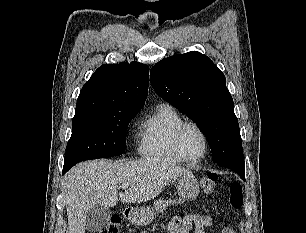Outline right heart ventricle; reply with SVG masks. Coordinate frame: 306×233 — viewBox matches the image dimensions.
Returning a JSON list of instances; mask_svg holds the SVG:
<instances>
[{
	"instance_id": "right-heart-ventricle-1",
	"label": "right heart ventricle",
	"mask_w": 306,
	"mask_h": 233,
	"mask_svg": "<svg viewBox=\"0 0 306 233\" xmlns=\"http://www.w3.org/2000/svg\"><path fill=\"white\" fill-rule=\"evenodd\" d=\"M184 122L170 105L161 104L141 124L140 153L149 159L181 162L173 145L174 133Z\"/></svg>"
}]
</instances>
